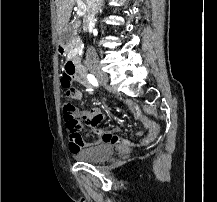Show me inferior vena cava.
<instances>
[{
  "label": "inferior vena cava",
  "mask_w": 217,
  "mask_h": 202,
  "mask_svg": "<svg viewBox=\"0 0 217 202\" xmlns=\"http://www.w3.org/2000/svg\"><path fill=\"white\" fill-rule=\"evenodd\" d=\"M99 2L100 0H86V16H85V24H89V22H92L95 14H96V10L99 6ZM87 56H91V58H93V56H96L94 50H91V48H89V50H87Z\"/></svg>",
  "instance_id": "obj_1"
}]
</instances>
